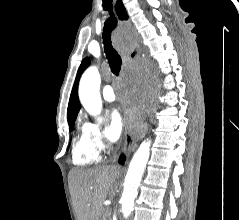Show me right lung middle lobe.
I'll return each instance as SVG.
<instances>
[{
  "instance_id": "obj_1",
  "label": "right lung middle lobe",
  "mask_w": 239,
  "mask_h": 220,
  "mask_svg": "<svg viewBox=\"0 0 239 220\" xmlns=\"http://www.w3.org/2000/svg\"><path fill=\"white\" fill-rule=\"evenodd\" d=\"M75 120L76 119H74V120H71V121H68V123H69V128H70V131L73 129V127H74V122H75Z\"/></svg>"
}]
</instances>
